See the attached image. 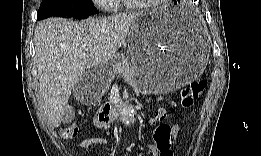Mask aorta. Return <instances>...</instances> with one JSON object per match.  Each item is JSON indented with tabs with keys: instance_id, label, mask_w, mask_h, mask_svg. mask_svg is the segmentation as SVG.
I'll return each instance as SVG.
<instances>
[{
	"instance_id": "aorta-1",
	"label": "aorta",
	"mask_w": 261,
	"mask_h": 156,
	"mask_svg": "<svg viewBox=\"0 0 261 156\" xmlns=\"http://www.w3.org/2000/svg\"><path fill=\"white\" fill-rule=\"evenodd\" d=\"M122 121L126 126H130L135 121L134 109L131 105L125 106L122 110Z\"/></svg>"
}]
</instances>
